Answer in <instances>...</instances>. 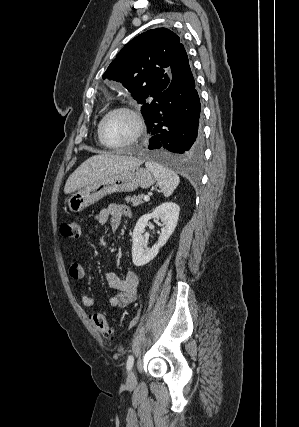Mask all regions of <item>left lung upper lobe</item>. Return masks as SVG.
I'll return each mask as SVG.
<instances>
[{
	"mask_svg": "<svg viewBox=\"0 0 299 427\" xmlns=\"http://www.w3.org/2000/svg\"><path fill=\"white\" fill-rule=\"evenodd\" d=\"M179 45V36L167 28L148 30L122 48L103 79L121 82L142 104L141 112L145 117L170 83V67Z\"/></svg>",
	"mask_w": 299,
	"mask_h": 427,
	"instance_id": "obj_1",
	"label": "left lung upper lobe"
}]
</instances>
